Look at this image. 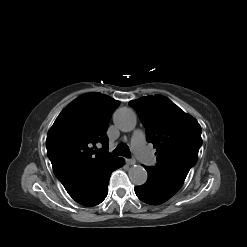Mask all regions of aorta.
I'll return each instance as SVG.
<instances>
[{"mask_svg": "<svg viewBox=\"0 0 247 247\" xmlns=\"http://www.w3.org/2000/svg\"><path fill=\"white\" fill-rule=\"evenodd\" d=\"M115 126L123 131H132L137 124V117L135 112L130 108H120L114 114ZM129 178L135 185H142L147 181V172L142 166H133L129 169Z\"/></svg>", "mask_w": 247, "mask_h": 247, "instance_id": "obj_1", "label": "aorta"}]
</instances>
